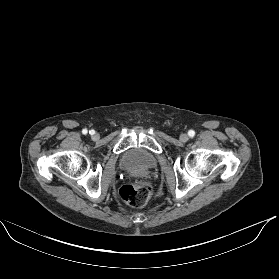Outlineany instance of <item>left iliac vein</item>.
I'll list each match as a JSON object with an SVG mask.
<instances>
[{
    "mask_svg": "<svg viewBox=\"0 0 279 279\" xmlns=\"http://www.w3.org/2000/svg\"><path fill=\"white\" fill-rule=\"evenodd\" d=\"M179 138H180V141H182V142H186L189 139L188 135L185 133L181 134Z\"/></svg>",
    "mask_w": 279,
    "mask_h": 279,
    "instance_id": "obj_1",
    "label": "left iliac vein"
}]
</instances>
